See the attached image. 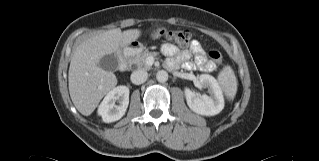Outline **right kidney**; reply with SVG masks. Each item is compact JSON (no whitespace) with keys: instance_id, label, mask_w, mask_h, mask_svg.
I'll return each instance as SVG.
<instances>
[{"instance_id":"obj_1","label":"right kidney","mask_w":319,"mask_h":161,"mask_svg":"<svg viewBox=\"0 0 319 161\" xmlns=\"http://www.w3.org/2000/svg\"><path fill=\"white\" fill-rule=\"evenodd\" d=\"M116 102L118 104H116ZM129 104V88L117 86L107 93L98 108L103 122H115L123 117Z\"/></svg>"}]
</instances>
